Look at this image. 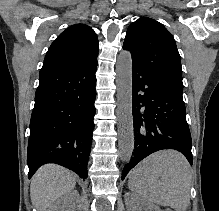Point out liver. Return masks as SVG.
<instances>
[{
    "label": "liver",
    "mask_w": 219,
    "mask_h": 211,
    "mask_svg": "<svg viewBox=\"0 0 219 211\" xmlns=\"http://www.w3.org/2000/svg\"><path fill=\"white\" fill-rule=\"evenodd\" d=\"M75 185L74 171L57 163H45L37 169L31 179V201L38 211H46L58 197L68 191H73Z\"/></svg>",
    "instance_id": "obj_1"
}]
</instances>
